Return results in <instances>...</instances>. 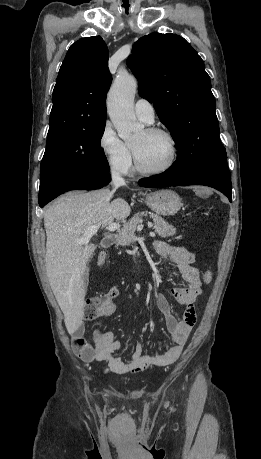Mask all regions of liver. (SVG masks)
<instances>
[{"label":"liver","mask_w":261,"mask_h":459,"mask_svg":"<svg viewBox=\"0 0 261 459\" xmlns=\"http://www.w3.org/2000/svg\"><path fill=\"white\" fill-rule=\"evenodd\" d=\"M114 191L101 189L88 193L69 192L58 198L44 214L46 242V273L64 314L69 334L81 325L84 316L85 286L83 274L94 243L76 242L88 227H107L115 219L130 214V206L122 199L111 201Z\"/></svg>","instance_id":"liver-1"}]
</instances>
